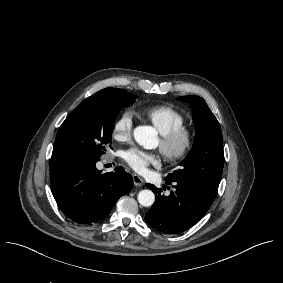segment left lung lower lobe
<instances>
[{
  "instance_id": "left-lung-lower-lobe-1",
  "label": "left lung lower lobe",
  "mask_w": 283,
  "mask_h": 283,
  "mask_svg": "<svg viewBox=\"0 0 283 283\" xmlns=\"http://www.w3.org/2000/svg\"><path fill=\"white\" fill-rule=\"evenodd\" d=\"M155 193L156 201L145 215V221L153 228L167 233L184 232L195 225L208 211L214 200L201 195L192 186L175 183L169 196L162 190L146 184Z\"/></svg>"
}]
</instances>
